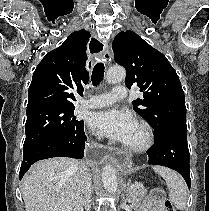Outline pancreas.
<instances>
[{"label":"pancreas","mask_w":209,"mask_h":211,"mask_svg":"<svg viewBox=\"0 0 209 211\" xmlns=\"http://www.w3.org/2000/svg\"><path fill=\"white\" fill-rule=\"evenodd\" d=\"M147 194V189L142 183H135L132 188H130L128 194V201L132 204L134 208H138L141 205L142 200Z\"/></svg>","instance_id":"obj_1"}]
</instances>
